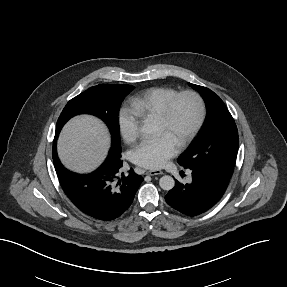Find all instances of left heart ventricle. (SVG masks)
<instances>
[{"mask_svg": "<svg viewBox=\"0 0 287 287\" xmlns=\"http://www.w3.org/2000/svg\"><path fill=\"white\" fill-rule=\"evenodd\" d=\"M196 117L195 102L189 97H184L177 102L170 125L165 127L160 123L157 124V135L168 137L178 146L193 126Z\"/></svg>", "mask_w": 287, "mask_h": 287, "instance_id": "1", "label": "left heart ventricle"}]
</instances>
